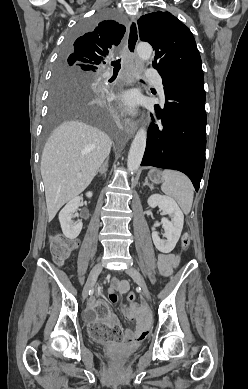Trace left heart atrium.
<instances>
[{"instance_id":"left-heart-atrium-1","label":"left heart atrium","mask_w":248,"mask_h":389,"mask_svg":"<svg viewBox=\"0 0 248 389\" xmlns=\"http://www.w3.org/2000/svg\"><path fill=\"white\" fill-rule=\"evenodd\" d=\"M121 102L127 111H132L136 106L137 98L134 93L128 92L121 96Z\"/></svg>"}]
</instances>
